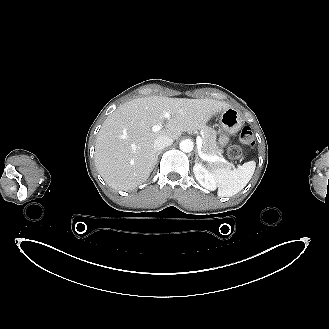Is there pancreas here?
Segmentation results:
<instances>
[{"label":"pancreas","mask_w":329,"mask_h":329,"mask_svg":"<svg viewBox=\"0 0 329 329\" xmlns=\"http://www.w3.org/2000/svg\"><path fill=\"white\" fill-rule=\"evenodd\" d=\"M202 132H203L202 134L203 145L201 148V152L209 156L221 155L222 152L218 148L216 142V132L209 127H203ZM209 165L221 166L223 165V163L220 161H216L214 163H210Z\"/></svg>","instance_id":"pancreas-1"}]
</instances>
